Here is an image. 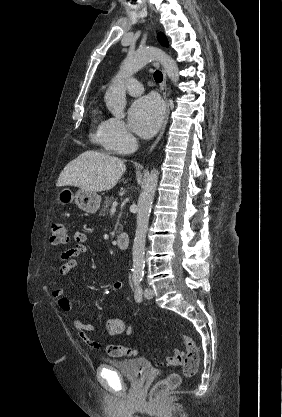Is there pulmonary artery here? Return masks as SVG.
<instances>
[{
  "instance_id": "1",
  "label": "pulmonary artery",
  "mask_w": 282,
  "mask_h": 417,
  "mask_svg": "<svg viewBox=\"0 0 282 417\" xmlns=\"http://www.w3.org/2000/svg\"><path fill=\"white\" fill-rule=\"evenodd\" d=\"M125 88L131 95H139L143 91V86L136 78H129L125 81Z\"/></svg>"
}]
</instances>
